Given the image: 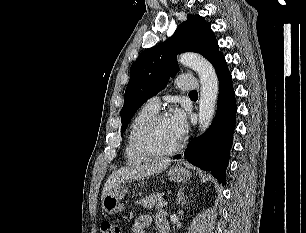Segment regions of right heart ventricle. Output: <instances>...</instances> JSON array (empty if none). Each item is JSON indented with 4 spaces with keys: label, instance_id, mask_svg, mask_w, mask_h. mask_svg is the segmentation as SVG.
<instances>
[{
    "label": "right heart ventricle",
    "instance_id": "obj_1",
    "mask_svg": "<svg viewBox=\"0 0 306 233\" xmlns=\"http://www.w3.org/2000/svg\"><path fill=\"white\" fill-rule=\"evenodd\" d=\"M156 112H157L156 109H153L147 104H145L132 119L129 126L127 139H126V146H125V156L128 163L130 164L139 163L150 158L148 156L141 154L138 151L136 140L141 127L145 124V122L149 118L155 115Z\"/></svg>",
    "mask_w": 306,
    "mask_h": 233
}]
</instances>
